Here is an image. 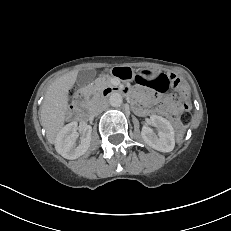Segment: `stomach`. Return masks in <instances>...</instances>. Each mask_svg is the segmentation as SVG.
I'll list each match as a JSON object with an SVG mask.
<instances>
[{
    "label": "stomach",
    "instance_id": "obj_1",
    "mask_svg": "<svg viewBox=\"0 0 231 231\" xmlns=\"http://www.w3.org/2000/svg\"><path fill=\"white\" fill-rule=\"evenodd\" d=\"M113 73L119 76L121 79H131L135 76L133 68L128 66H118L113 69Z\"/></svg>",
    "mask_w": 231,
    "mask_h": 231
}]
</instances>
